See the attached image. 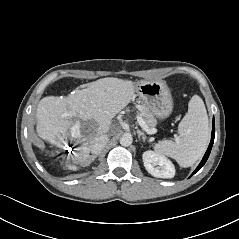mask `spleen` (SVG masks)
I'll return each mask as SVG.
<instances>
[{
  "label": "spleen",
  "instance_id": "3e777b00",
  "mask_svg": "<svg viewBox=\"0 0 239 239\" xmlns=\"http://www.w3.org/2000/svg\"><path fill=\"white\" fill-rule=\"evenodd\" d=\"M209 141V123L203 100L194 95L188 104V112L178 126L175 142L161 140L154 145L155 153L168 156L182 167H190L204 154Z\"/></svg>",
  "mask_w": 239,
  "mask_h": 239
}]
</instances>
